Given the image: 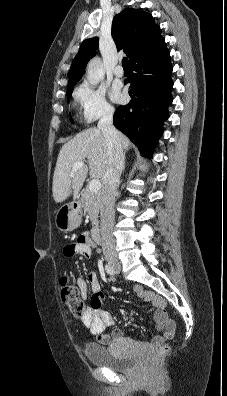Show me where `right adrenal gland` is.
Returning <instances> with one entry per match:
<instances>
[{
	"label": "right adrenal gland",
	"instance_id": "obj_1",
	"mask_svg": "<svg viewBox=\"0 0 227 396\" xmlns=\"http://www.w3.org/2000/svg\"><path fill=\"white\" fill-rule=\"evenodd\" d=\"M125 170V158H124V160H123V168H122V171H124Z\"/></svg>",
	"mask_w": 227,
	"mask_h": 396
}]
</instances>
